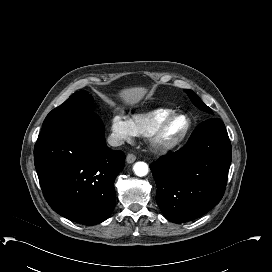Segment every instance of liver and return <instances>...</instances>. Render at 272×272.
<instances>
[{
	"mask_svg": "<svg viewBox=\"0 0 272 272\" xmlns=\"http://www.w3.org/2000/svg\"><path fill=\"white\" fill-rule=\"evenodd\" d=\"M146 89L142 87L123 89L119 93V97L128 104H135L139 102L145 95Z\"/></svg>",
	"mask_w": 272,
	"mask_h": 272,
	"instance_id": "6515ba94",
	"label": "liver"
}]
</instances>
